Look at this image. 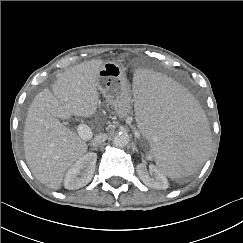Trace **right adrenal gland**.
Instances as JSON below:
<instances>
[{"instance_id": "obj_1", "label": "right adrenal gland", "mask_w": 243, "mask_h": 243, "mask_svg": "<svg viewBox=\"0 0 243 243\" xmlns=\"http://www.w3.org/2000/svg\"><path fill=\"white\" fill-rule=\"evenodd\" d=\"M91 150H95V151H97V150H98V148H97V147H94V148H91Z\"/></svg>"}]
</instances>
